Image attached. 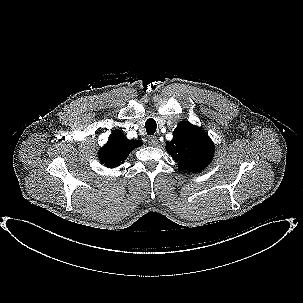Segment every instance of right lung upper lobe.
<instances>
[{
	"instance_id": "obj_1",
	"label": "right lung upper lobe",
	"mask_w": 303,
	"mask_h": 303,
	"mask_svg": "<svg viewBox=\"0 0 303 303\" xmlns=\"http://www.w3.org/2000/svg\"><path fill=\"white\" fill-rule=\"evenodd\" d=\"M141 145L142 141L129 140L122 132L116 131L100 150L99 159L106 167L115 168L124 162L133 149Z\"/></svg>"
}]
</instances>
